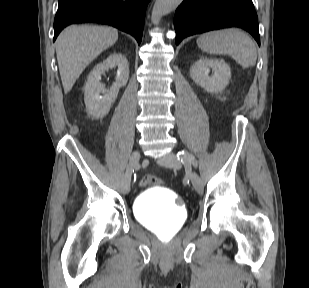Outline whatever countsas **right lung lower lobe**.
<instances>
[{"label":"right lung lower lobe","mask_w":309,"mask_h":288,"mask_svg":"<svg viewBox=\"0 0 309 288\" xmlns=\"http://www.w3.org/2000/svg\"><path fill=\"white\" fill-rule=\"evenodd\" d=\"M150 0H59L54 39L69 24L97 22L133 35L140 44Z\"/></svg>","instance_id":"1"}]
</instances>
